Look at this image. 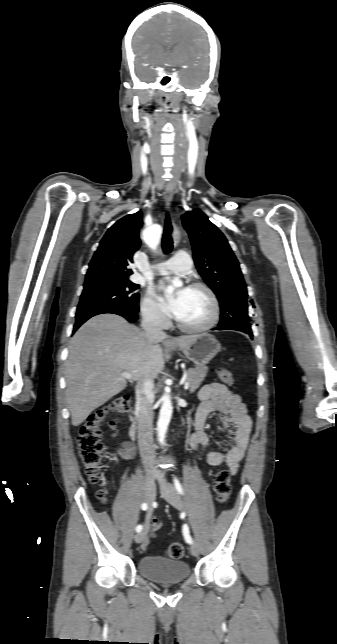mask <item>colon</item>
Instances as JSON below:
<instances>
[{"instance_id":"5ec220e1","label":"colon","mask_w":337,"mask_h":644,"mask_svg":"<svg viewBox=\"0 0 337 644\" xmlns=\"http://www.w3.org/2000/svg\"><path fill=\"white\" fill-rule=\"evenodd\" d=\"M217 374L221 381L226 384H233L232 373L225 367H220ZM130 409V398L127 394L116 397L110 404L94 411L81 425L76 440L78 454L84 464L86 474L91 483L97 484L101 481V462L104 453L102 442L101 424L109 413L117 415L125 414ZM115 422H111L114 426ZM214 490L219 503L225 504L231 493V476L227 468H220L213 477ZM98 498L105 499V490H99ZM166 554L169 558L177 560L184 555V546L181 543H171Z\"/></svg>"}]
</instances>
